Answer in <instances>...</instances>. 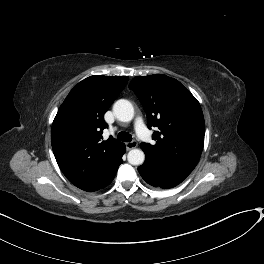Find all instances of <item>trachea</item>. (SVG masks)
I'll list each match as a JSON object with an SVG mask.
<instances>
[{
    "label": "trachea",
    "mask_w": 264,
    "mask_h": 264,
    "mask_svg": "<svg viewBox=\"0 0 264 264\" xmlns=\"http://www.w3.org/2000/svg\"><path fill=\"white\" fill-rule=\"evenodd\" d=\"M117 138H118V140L123 141V142H131L132 141V136L126 132H119Z\"/></svg>",
    "instance_id": "3493384b"
}]
</instances>
